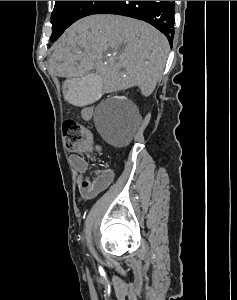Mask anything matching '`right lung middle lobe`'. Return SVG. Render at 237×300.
I'll list each match as a JSON object with an SVG mask.
<instances>
[{"mask_svg": "<svg viewBox=\"0 0 237 300\" xmlns=\"http://www.w3.org/2000/svg\"><path fill=\"white\" fill-rule=\"evenodd\" d=\"M106 1H55L51 15V40H56L75 21L94 12Z\"/></svg>", "mask_w": 237, "mask_h": 300, "instance_id": "obj_1", "label": "right lung middle lobe"}]
</instances>
